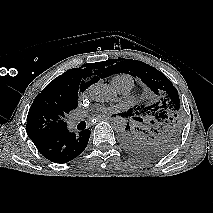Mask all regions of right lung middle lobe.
I'll list each match as a JSON object with an SVG mask.
<instances>
[{
    "instance_id": "1",
    "label": "right lung middle lobe",
    "mask_w": 213,
    "mask_h": 213,
    "mask_svg": "<svg viewBox=\"0 0 213 213\" xmlns=\"http://www.w3.org/2000/svg\"><path fill=\"white\" fill-rule=\"evenodd\" d=\"M77 106V102L63 99L42 102L28 113L26 128L34 136L55 133L67 125L64 121L65 115Z\"/></svg>"
}]
</instances>
